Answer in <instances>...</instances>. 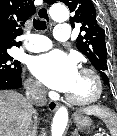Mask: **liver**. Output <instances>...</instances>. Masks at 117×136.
<instances>
[{
    "instance_id": "liver-1",
    "label": "liver",
    "mask_w": 117,
    "mask_h": 136,
    "mask_svg": "<svg viewBox=\"0 0 117 136\" xmlns=\"http://www.w3.org/2000/svg\"><path fill=\"white\" fill-rule=\"evenodd\" d=\"M34 109L20 93L0 91V136H27Z\"/></svg>"
}]
</instances>
